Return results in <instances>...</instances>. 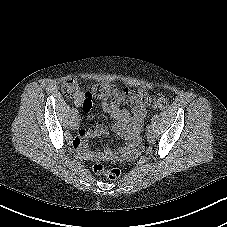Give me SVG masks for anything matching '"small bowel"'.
Listing matches in <instances>:
<instances>
[{
  "label": "small bowel",
  "instance_id": "obj_1",
  "mask_svg": "<svg viewBox=\"0 0 227 227\" xmlns=\"http://www.w3.org/2000/svg\"><path fill=\"white\" fill-rule=\"evenodd\" d=\"M123 102V98H118L114 101L102 99L101 108L103 112L114 119L111 128L118 132L127 141L128 145L115 152L106 148L101 154H95L87 150L86 146L90 138L104 135L108 131L107 127L100 122L87 130H79L77 136L72 139V145L81 151L84 158L89 160L95 158L120 160L138 153L140 149V133L147 115L145 103L137 101L134 97H129L128 102L131 107L124 108L122 107ZM74 103L77 106H82L86 112H89L92 108V102L88 101L86 95L82 92L74 96Z\"/></svg>",
  "mask_w": 227,
  "mask_h": 227
}]
</instances>
